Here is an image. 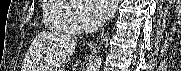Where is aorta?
I'll return each mask as SVG.
<instances>
[{
	"instance_id": "aorta-1",
	"label": "aorta",
	"mask_w": 181,
	"mask_h": 71,
	"mask_svg": "<svg viewBox=\"0 0 181 71\" xmlns=\"http://www.w3.org/2000/svg\"><path fill=\"white\" fill-rule=\"evenodd\" d=\"M102 63V57H96L94 61L90 64V66L87 68V71H100Z\"/></svg>"
}]
</instances>
